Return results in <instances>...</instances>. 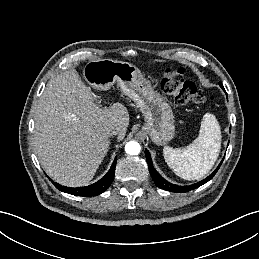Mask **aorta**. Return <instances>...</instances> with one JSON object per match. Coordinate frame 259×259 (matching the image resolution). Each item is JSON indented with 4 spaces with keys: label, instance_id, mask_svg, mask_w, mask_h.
Listing matches in <instances>:
<instances>
[{
    "label": "aorta",
    "instance_id": "obj_1",
    "mask_svg": "<svg viewBox=\"0 0 259 259\" xmlns=\"http://www.w3.org/2000/svg\"><path fill=\"white\" fill-rule=\"evenodd\" d=\"M141 146L138 142L130 141L125 145V152L129 155H137L140 153Z\"/></svg>",
    "mask_w": 259,
    "mask_h": 259
}]
</instances>
